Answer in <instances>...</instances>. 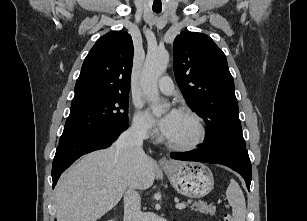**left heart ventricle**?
Returning a JSON list of instances; mask_svg holds the SVG:
<instances>
[{
	"mask_svg": "<svg viewBox=\"0 0 307 221\" xmlns=\"http://www.w3.org/2000/svg\"><path fill=\"white\" fill-rule=\"evenodd\" d=\"M196 134L197 127L193 119L180 113L174 128L167 139L174 143H184L192 140Z\"/></svg>",
	"mask_w": 307,
	"mask_h": 221,
	"instance_id": "left-heart-ventricle-1",
	"label": "left heart ventricle"
}]
</instances>
